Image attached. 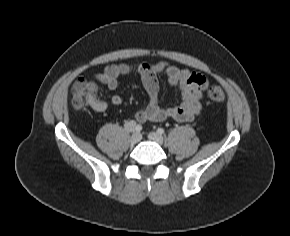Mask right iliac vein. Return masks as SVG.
Returning a JSON list of instances; mask_svg holds the SVG:
<instances>
[{
	"label": "right iliac vein",
	"mask_w": 290,
	"mask_h": 236,
	"mask_svg": "<svg viewBox=\"0 0 290 236\" xmlns=\"http://www.w3.org/2000/svg\"><path fill=\"white\" fill-rule=\"evenodd\" d=\"M131 142L136 144L141 140V134L138 132H134L130 138Z\"/></svg>",
	"instance_id": "obj_1"
}]
</instances>
